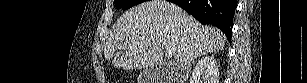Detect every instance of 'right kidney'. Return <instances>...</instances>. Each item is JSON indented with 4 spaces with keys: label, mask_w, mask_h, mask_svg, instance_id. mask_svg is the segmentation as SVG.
I'll return each instance as SVG.
<instances>
[{
    "label": "right kidney",
    "mask_w": 307,
    "mask_h": 83,
    "mask_svg": "<svg viewBox=\"0 0 307 83\" xmlns=\"http://www.w3.org/2000/svg\"><path fill=\"white\" fill-rule=\"evenodd\" d=\"M190 83H219V70L213 56L201 58L190 77Z\"/></svg>",
    "instance_id": "1"
}]
</instances>
